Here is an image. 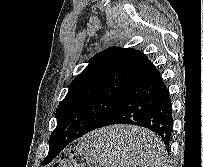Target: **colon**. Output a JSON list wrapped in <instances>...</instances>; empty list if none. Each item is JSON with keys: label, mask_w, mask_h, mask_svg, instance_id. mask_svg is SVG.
I'll list each match as a JSON object with an SVG mask.
<instances>
[{"label": "colon", "mask_w": 203, "mask_h": 167, "mask_svg": "<svg viewBox=\"0 0 203 167\" xmlns=\"http://www.w3.org/2000/svg\"><path fill=\"white\" fill-rule=\"evenodd\" d=\"M52 167H98L93 161L78 154L75 150H68L62 154L59 161Z\"/></svg>", "instance_id": "5ec220e1"}]
</instances>
